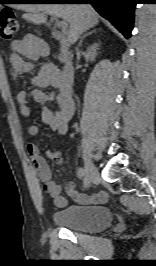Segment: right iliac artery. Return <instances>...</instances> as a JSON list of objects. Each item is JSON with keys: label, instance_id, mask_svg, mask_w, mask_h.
Returning <instances> with one entry per match:
<instances>
[{"label": "right iliac artery", "instance_id": "82829eb1", "mask_svg": "<svg viewBox=\"0 0 156 266\" xmlns=\"http://www.w3.org/2000/svg\"><path fill=\"white\" fill-rule=\"evenodd\" d=\"M77 174L80 177H84L85 176V170L83 168L79 167L78 171H77Z\"/></svg>", "mask_w": 156, "mask_h": 266}]
</instances>
